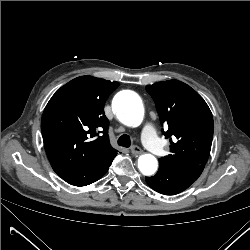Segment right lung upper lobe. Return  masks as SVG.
Here are the masks:
<instances>
[{"label":"right lung upper lobe","mask_w":250,"mask_h":250,"mask_svg":"<svg viewBox=\"0 0 250 250\" xmlns=\"http://www.w3.org/2000/svg\"><path fill=\"white\" fill-rule=\"evenodd\" d=\"M118 86L116 81L81 76L62 86L49 100L41 131L57 174L83 170L117 152L109 142L104 104Z\"/></svg>","instance_id":"cb5924a9"}]
</instances>
